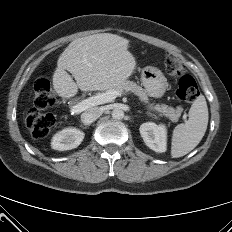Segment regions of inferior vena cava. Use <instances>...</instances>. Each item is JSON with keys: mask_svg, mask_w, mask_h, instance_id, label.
<instances>
[{"mask_svg": "<svg viewBox=\"0 0 232 232\" xmlns=\"http://www.w3.org/2000/svg\"><path fill=\"white\" fill-rule=\"evenodd\" d=\"M101 115H102L101 108L92 107L81 114V121L84 123V125H90Z\"/></svg>", "mask_w": 232, "mask_h": 232, "instance_id": "1", "label": "inferior vena cava"}]
</instances>
